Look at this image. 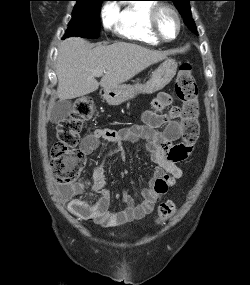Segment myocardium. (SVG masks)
<instances>
[{"label":"myocardium","mask_w":250,"mask_h":285,"mask_svg":"<svg viewBox=\"0 0 250 285\" xmlns=\"http://www.w3.org/2000/svg\"><path fill=\"white\" fill-rule=\"evenodd\" d=\"M163 11L170 12L176 19L177 32L172 38L164 37L159 31L158 21H159V17L161 15V13ZM149 27H150L151 34L159 42H171L179 36V34L182 30V19L180 17V14L178 13V11L175 8H173L172 6H170L168 4H159V5L154 6V8L151 11L150 19H149Z\"/></svg>","instance_id":"obj_1"}]
</instances>
